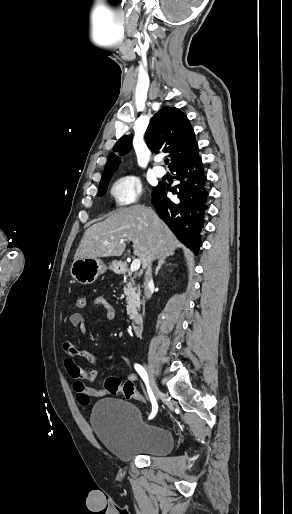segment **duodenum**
Masks as SVG:
<instances>
[{
  "instance_id": "duodenum-1",
  "label": "duodenum",
  "mask_w": 292,
  "mask_h": 514,
  "mask_svg": "<svg viewBox=\"0 0 292 514\" xmlns=\"http://www.w3.org/2000/svg\"><path fill=\"white\" fill-rule=\"evenodd\" d=\"M131 329L134 334H138L142 329V317L135 316L131 320Z\"/></svg>"
}]
</instances>
